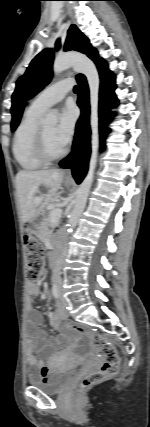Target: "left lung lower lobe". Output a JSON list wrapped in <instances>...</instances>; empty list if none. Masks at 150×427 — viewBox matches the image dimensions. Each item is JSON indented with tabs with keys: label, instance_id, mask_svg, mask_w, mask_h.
Segmentation results:
<instances>
[{
	"label": "left lung lower lobe",
	"instance_id": "1",
	"mask_svg": "<svg viewBox=\"0 0 150 427\" xmlns=\"http://www.w3.org/2000/svg\"><path fill=\"white\" fill-rule=\"evenodd\" d=\"M100 75V92H99V118H100V135L103 142L109 129L105 127L112 119L113 113L110 111L118 104L115 95V76L108 69L107 63L102 58L95 62ZM81 86L79 93L78 105L82 114L76 125V134L73 142L71 154L60 162L63 168H71L73 177L79 184L85 177L88 169L90 156V126H89V91L85 77L77 78Z\"/></svg>",
	"mask_w": 150,
	"mask_h": 427
}]
</instances>
